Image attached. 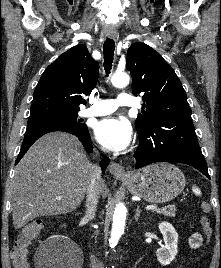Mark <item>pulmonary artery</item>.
Masks as SVG:
<instances>
[{
	"label": "pulmonary artery",
	"instance_id": "obj_1",
	"mask_svg": "<svg viewBox=\"0 0 221 268\" xmlns=\"http://www.w3.org/2000/svg\"><path fill=\"white\" fill-rule=\"evenodd\" d=\"M119 106H135V100L127 93H121L116 99L98 100L93 106L84 110L81 115L85 117L104 116L113 113Z\"/></svg>",
	"mask_w": 221,
	"mask_h": 268
}]
</instances>
